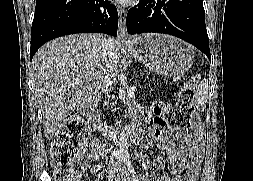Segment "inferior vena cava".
<instances>
[{
    "label": "inferior vena cava",
    "instance_id": "602c4592",
    "mask_svg": "<svg viewBox=\"0 0 253 181\" xmlns=\"http://www.w3.org/2000/svg\"><path fill=\"white\" fill-rule=\"evenodd\" d=\"M101 41H102V50H103V56H104V61L107 63L108 61V55L112 54V50L114 48L113 44L111 43V40L109 38H106L103 35H100ZM109 79L105 81V86L106 88L109 87L110 85Z\"/></svg>",
    "mask_w": 253,
    "mask_h": 181
}]
</instances>
